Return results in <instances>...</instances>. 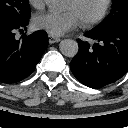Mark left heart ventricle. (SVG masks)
<instances>
[{"label": "left heart ventricle", "instance_id": "b2bd125f", "mask_svg": "<svg viewBox=\"0 0 128 128\" xmlns=\"http://www.w3.org/2000/svg\"><path fill=\"white\" fill-rule=\"evenodd\" d=\"M103 3L104 0H81L78 3L68 0L66 9L73 11L81 21L95 16L101 9Z\"/></svg>", "mask_w": 128, "mask_h": 128}]
</instances>
